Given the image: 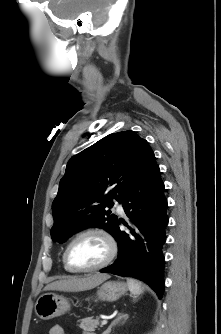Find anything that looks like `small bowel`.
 <instances>
[{"label": "small bowel", "mask_w": 221, "mask_h": 334, "mask_svg": "<svg viewBox=\"0 0 221 334\" xmlns=\"http://www.w3.org/2000/svg\"><path fill=\"white\" fill-rule=\"evenodd\" d=\"M48 334H66L65 330L63 329L62 326L60 325H53L50 329H49V333ZM84 334H93V333H84Z\"/></svg>", "instance_id": "small-bowel-1"}]
</instances>
